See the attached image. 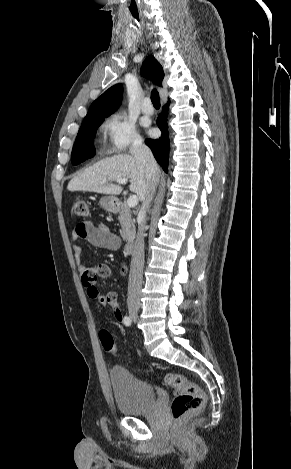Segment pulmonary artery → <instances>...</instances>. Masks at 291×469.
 Returning <instances> with one entry per match:
<instances>
[{"instance_id": "e3ab8cb5", "label": "pulmonary artery", "mask_w": 291, "mask_h": 469, "mask_svg": "<svg viewBox=\"0 0 291 469\" xmlns=\"http://www.w3.org/2000/svg\"><path fill=\"white\" fill-rule=\"evenodd\" d=\"M153 107L151 105V100L150 98H145L142 104V112L146 115H151L153 114Z\"/></svg>"}]
</instances>
